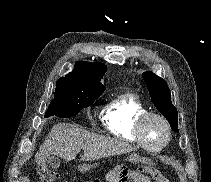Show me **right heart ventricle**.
<instances>
[{"mask_svg": "<svg viewBox=\"0 0 211 182\" xmlns=\"http://www.w3.org/2000/svg\"><path fill=\"white\" fill-rule=\"evenodd\" d=\"M145 112V105L136 95L123 93L106 105L102 122L107 131L117 139L138 144L134 129L137 119Z\"/></svg>", "mask_w": 211, "mask_h": 182, "instance_id": "right-heart-ventricle-1", "label": "right heart ventricle"}]
</instances>
